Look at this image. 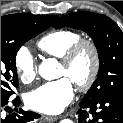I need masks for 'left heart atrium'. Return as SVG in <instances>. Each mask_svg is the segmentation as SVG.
<instances>
[{"mask_svg":"<svg viewBox=\"0 0 123 123\" xmlns=\"http://www.w3.org/2000/svg\"><path fill=\"white\" fill-rule=\"evenodd\" d=\"M74 97L72 82L67 77L47 82L26 95L27 106L35 111L56 114L61 112Z\"/></svg>","mask_w":123,"mask_h":123,"instance_id":"39dd6f15","label":"left heart atrium"}]
</instances>
